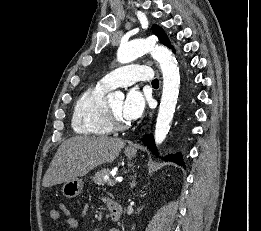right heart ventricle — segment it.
Returning <instances> with one entry per match:
<instances>
[{
	"label": "right heart ventricle",
	"mask_w": 261,
	"mask_h": 231,
	"mask_svg": "<svg viewBox=\"0 0 261 231\" xmlns=\"http://www.w3.org/2000/svg\"><path fill=\"white\" fill-rule=\"evenodd\" d=\"M109 90L98 83L78 98L71 119L75 133L84 136H107L113 131L107 121L106 112V94Z\"/></svg>",
	"instance_id": "e07e8e85"
}]
</instances>
